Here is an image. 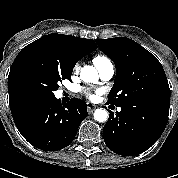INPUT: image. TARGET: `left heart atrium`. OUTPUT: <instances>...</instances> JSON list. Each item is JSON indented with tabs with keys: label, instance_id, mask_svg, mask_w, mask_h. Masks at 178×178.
<instances>
[{
	"label": "left heart atrium",
	"instance_id": "39dd6f15",
	"mask_svg": "<svg viewBox=\"0 0 178 178\" xmlns=\"http://www.w3.org/2000/svg\"><path fill=\"white\" fill-rule=\"evenodd\" d=\"M82 94L85 95L87 98L92 99L94 97V95L92 94V92H90L87 89H83L81 90Z\"/></svg>",
	"mask_w": 178,
	"mask_h": 178
}]
</instances>
